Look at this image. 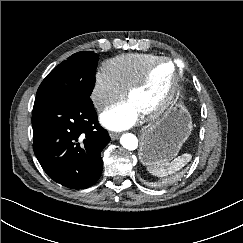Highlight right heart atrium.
I'll list each match as a JSON object with an SVG mask.
<instances>
[{
	"mask_svg": "<svg viewBox=\"0 0 243 243\" xmlns=\"http://www.w3.org/2000/svg\"><path fill=\"white\" fill-rule=\"evenodd\" d=\"M123 95L124 90L105 69L96 72L91 91V100L97 110H104L121 99Z\"/></svg>",
	"mask_w": 243,
	"mask_h": 243,
	"instance_id": "1",
	"label": "right heart atrium"
}]
</instances>
